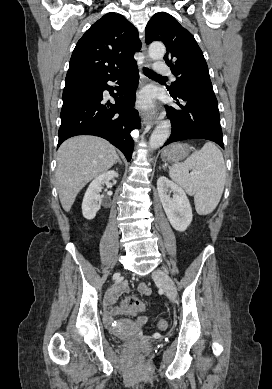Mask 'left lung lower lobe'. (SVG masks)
Listing matches in <instances>:
<instances>
[{"label":"left lung lower lobe","mask_w":272,"mask_h":389,"mask_svg":"<svg viewBox=\"0 0 272 389\" xmlns=\"http://www.w3.org/2000/svg\"><path fill=\"white\" fill-rule=\"evenodd\" d=\"M171 96L178 108L166 107L172 131L164 145L185 139H207L224 148L218 102L211 82L183 83Z\"/></svg>","instance_id":"obj_1"}]
</instances>
